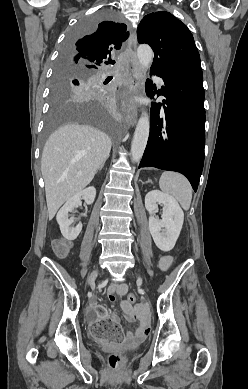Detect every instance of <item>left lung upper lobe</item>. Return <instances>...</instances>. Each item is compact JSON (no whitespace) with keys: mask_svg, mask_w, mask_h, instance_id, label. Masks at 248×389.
Listing matches in <instances>:
<instances>
[{"mask_svg":"<svg viewBox=\"0 0 248 389\" xmlns=\"http://www.w3.org/2000/svg\"><path fill=\"white\" fill-rule=\"evenodd\" d=\"M139 43L154 51L151 69L162 74L201 69L200 56L189 29L166 11L146 15L137 29Z\"/></svg>","mask_w":248,"mask_h":389,"instance_id":"obj_1","label":"left lung upper lobe"}]
</instances>
